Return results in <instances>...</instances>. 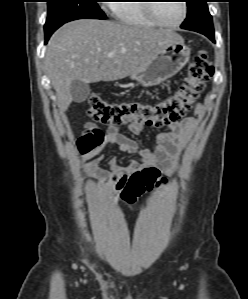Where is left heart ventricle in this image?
Listing matches in <instances>:
<instances>
[{
  "label": "left heart ventricle",
  "mask_w": 248,
  "mask_h": 299,
  "mask_svg": "<svg viewBox=\"0 0 248 299\" xmlns=\"http://www.w3.org/2000/svg\"><path fill=\"white\" fill-rule=\"evenodd\" d=\"M156 12L164 22L171 24L177 23L183 13L181 1H164L158 3Z\"/></svg>",
  "instance_id": "left-heart-ventricle-1"
}]
</instances>
